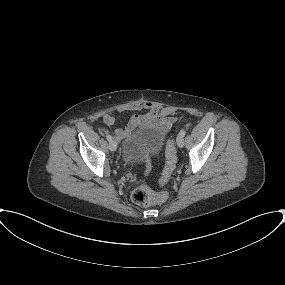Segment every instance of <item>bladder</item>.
<instances>
[{
  "label": "bladder",
  "mask_w": 285,
  "mask_h": 285,
  "mask_svg": "<svg viewBox=\"0 0 285 285\" xmlns=\"http://www.w3.org/2000/svg\"><path fill=\"white\" fill-rule=\"evenodd\" d=\"M165 135L154 126H144L136 130L123 143L122 159L126 164H134L147 154H158L164 145Z\"/></svg>",
  "instance_id": "obj_1"
}]
</instances>
